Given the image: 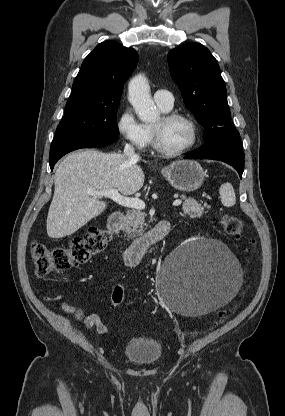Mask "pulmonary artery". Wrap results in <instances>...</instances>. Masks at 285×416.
Segmentation results:
<instances>
[{"label": "pulmonary artery", "instance_id": "obj_1", "mask_svg": "<svg viewBox=\"0 0 285 416\" xmlns=\"http://www.w3.org/2000/svg\"><path fill=\"white\" fill-rule=\"evenodd\" d=\"M154 99L157 104L164 110H169L173 107V95L168 92L166 87H161L154 93Z\"/></svg>", "mask_w": 285, "mask_h": 416}]
</instances>
